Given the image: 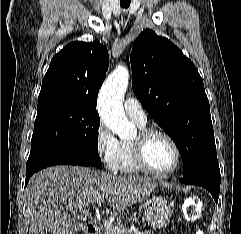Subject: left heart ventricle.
Here are the masks:
<instances>
[{
	"instance_id": "1",
	"label": "left heart ventricle",
	"mask_w": 241,
	"mask_h": 234,
	"mask_svg": "<svg viewBox=\"0 0 241 234\" xmlns=\"http://www.w3.org/2000/svg\"><path fill=\"white\" fill-rule=\"evenodd\" d=\"M146 159L153 169L166 171L173 167L176 154L173 146L166 138L155 135L147 143Z\"/></svg>"
}]
</instances>
